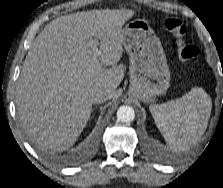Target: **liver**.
I'll use <instances>...</instances> for the list:
<instances>
[{
  "label": "liver",
  "instance_id": "6515ba94",
  "mask_svg": "<svg viewBox=\"0 0 223 188\" xmlns=\"http://www.w3.org/2000/svg\"><path fill=\"white\" fill-rule=\"evenodd\" d=\"M133 15L128 9L82 11L56 18L38 34L16 91L19 119L32 142L53 151L68 149L90 118L91 92L102 89L113 98L124 77L118 64L122 26ZM91 40H97L100 55H94Z\"/></svg>",
  "mask_w": 223,
  "mask_h": 188
}]
</instances>
